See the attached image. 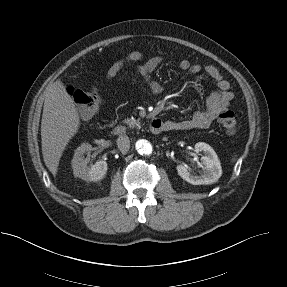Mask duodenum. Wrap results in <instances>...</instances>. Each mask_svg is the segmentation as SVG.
Wrapping results in <instances>:
<instances>
[{"label": "duodenum", "mask_w": 287, "mask_h": 287, "mask_svg": "<svg viewBox=\"0 0 287 287\" xmlns=\"http://www.w3.org/2000/svg\"><path fill=\"white\" fill-rule=\"evenodd\" d=\"M150 131L153 134H159L164 130L163 122L158 118H153L150 122ZM113 133L117 136L124 135L127 132V129L124 125H116L112 129Z\"/></svg>", "instance_id": "duodenum-1"}]
</instances>
